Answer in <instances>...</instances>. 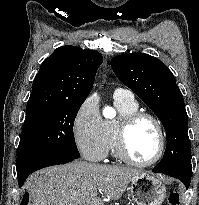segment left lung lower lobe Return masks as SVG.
<instances>
[{
    "label": "left lung lower lobe",
    "mask_w": 199,
    "mask_h": 205,
    "mask_svg": "<svg viewBox=\"0 0 199 205\" xmlns=\"http://www.w3.org/2000/svg\"><path fill=\"white\" fill-rule=\"evenodd\" d=\"M153 172H157L155 171L154 169L152 170ZM157 173H163V174H166V175H170V176H173L179 180H181L185 186H186V189H188V187L190 186V181L191 179L189 178H186V177H183V176H180V175H177V174H174V173H170V172H157Z\"/></svg>",
    "instance_id": "1"
}]
</instances>
